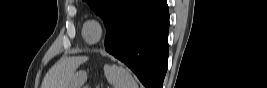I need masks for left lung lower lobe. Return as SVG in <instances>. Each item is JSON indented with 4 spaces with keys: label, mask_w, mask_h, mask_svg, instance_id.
<instances>
[{
    "label": "left lung lower lobe",
    "mask_w": 267,
    "mask_h": 88,
    "mask_svg": "<svg viewBox=\"0 0 267 88\" xmlns=\"http://www.w3.org/2000/svg\"><path fill=\"white\" fill-rule=\"evenodd\" d=\"M168 28L166 0H136L107 30L105 49L124 62L146 88H162Z\"/></svg>",
    "instance_id": "left-lung-lower-lobe-1"
}]
</instances>
